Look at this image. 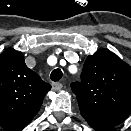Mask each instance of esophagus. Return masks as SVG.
Here are the masks:
<instances>
[{
    "mask_svg": "<svg viewBox=\"0 0 131 131\" xmlns=\"http://www.w3.org/2000/svg\"><path fill=\"white\" fill-rule=\"evenodd\" d=\"M62 87H63V84L60 83V82H54V83H52V88L54 90H60V89H62Z\"/></svg>",
    "mask_w": 131,
    "mask_h": 131,
    "instance_id": "34e87169",
    "label": "esophagus"
}]
</instances>
